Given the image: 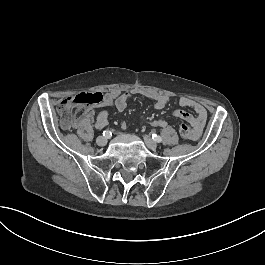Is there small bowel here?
Wrapping results in <instances>:
<instances>
[{"instance_id":"1","label":"small bowel","mask_w":265,"mask_h":265,"mask_svg":"<svg viewBox=\"0 0 265 265\" xmlns=\"http://www.w3.org/2000/svg\"><path fill=\"white\" fill-rule=\"evenodd\" d=\"M135 94L144 95L145 97L152 99L154 101V107L156 110L164 109L169 101V97L167 95L154 92H144L139 89H134L131 92L124 93L120 92L119 90H112L104 95L103 101L100 104V106L103 107L102 110L96 114L92 108H85L82 111L81 116L76 119L71 126L84 128L91 123H94L96 128L102 129L108 123V110L106 108L112 107L117 111L122 112L127 108L128 102L132 95ZM178 103L181 107H188L194 110L195 114L193 115L185 110L176 109L172 112V116L189 124L192 133L189 139L192 141H197L201 137L207 121V110L203 104L187 96L180 97ZM153 125L155 127L164 128L167 126V122L165 119L160 118L153 121ZM126 126V122L121 124L122 129H125Z\"/></svg>"}]
</instances>
